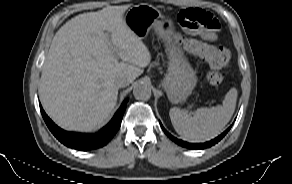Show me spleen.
Masks as SVG:
<instances>
[{
	"label": "spleen",
	"instance_id": "1",
	"mask_svg": "<svg viewBox=\"0 0 292 184\" xmlns=\"http://www.w3.org/2000/svg\"><path fill=\"white\" fill-rule=\"evenodd\" d=\"M237 90L231 88L222 106L188 112L176 107L169 111L175 131L186 141L203 142L216 137L230 121L236 107Z\"/></svg>",
	"mask_w": 292,
	"mask_h": 184
}]
</instances>
